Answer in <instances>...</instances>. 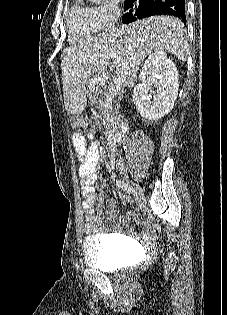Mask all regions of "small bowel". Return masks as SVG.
I'll return each mask as SVG.
<instances>
[{"mask_svg":"<svg viewBox=\"0 0 227 315\" xmlns=\"http://www.w3.org/2000/svg\"><path fill=\"white\" fill-rule=\"evenodd\" d=\"M72 146L78 157V175L80 178L81 193L83 196L82 210L85 220L84 231L87 234L93 235L98 232V225L96 224L97 213L102 212L101 207L95 206L98 199H103L102 195L96 194L94 182L96 180V170L98 165L103 161V147H101L93 136H85L74 133L72 135ZM105 214L112 218L117 213V204L115 200H110L109 207L104 211ZM129 219L143 224V221L135 213H128ZM153 235L151 230L144 233V238L149 239Z\"/></svg>","mask_w":227,"mask_h":315,"instance_id":"obj_1","label":"small bowel"}]
</instances>
